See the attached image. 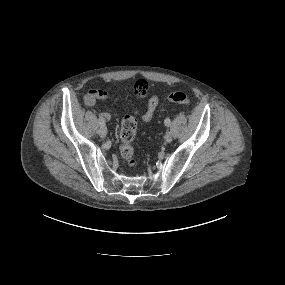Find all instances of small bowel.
Listing matches in <instances>:
<instances>
[{
    "instance_id": "small-bowel-1",
    "label": "small bowel",
    "mask_w": 285,
    "mask_h": 285,
    "mask_svg": "<svg viewBox=\"0 0 285 285\" xmlns=\"http://www.w3.org/2000/svg\"><path fill=\"white\" fill-rule=\"evenodd\" d=\"M135 95L139 98H145L148 92V86L145 90L137 92L134 89ZM111 99L108 92L99 90V89H91L89 90L83 97V103L91 107L95 105L98 100H105L109 101ZM160 105V98L157 94H153L149 97L146 108L144 112L141 114V119L143 122L148 123L152 120L155 112L157 111ZM132 111L135 114H139V110L132 107ZM99 118L102 119L104 122L110 121L111 115L109 113L103 112L99 115Z\"/></svg>"
}]
</instances>
